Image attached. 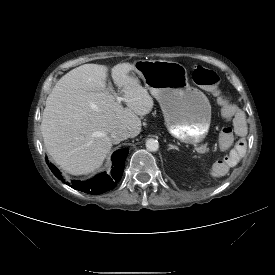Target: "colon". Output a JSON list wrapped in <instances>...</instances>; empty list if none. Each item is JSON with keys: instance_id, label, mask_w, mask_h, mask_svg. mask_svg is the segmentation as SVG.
<instances>
[{"instance_id": "obj_1", "label": "colon", "mask_w": 275, "mask_h": 275, "mask_svg": "<svg viewBox=\"0 0 275 275\" xmlns=\"http://www.w3.org/2000/svg\"><path fill=\"white\" fill-rule=\"evenodd\" d=\"M192 78L194 82L200 86L205 87L209 91L213 92L214 94L218 95L222 102L228 103L230 102V96L226 92H220L219 85H220V77L217 75L216 72L201 67L196 66L192 72ZM246 147V141L244 138H238L235 143L234 149L240 156L244 153Z\"/></svg>"}]
</instances>
